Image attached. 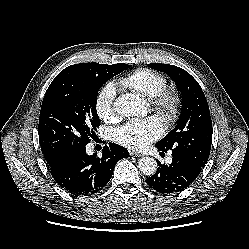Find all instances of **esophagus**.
Masks as SVG:
<instances>
[{
	"instance_id": "esophagus-1",
	"label": "esophagus",
	"mask_w": 249,
	"mask_h": 249,
	"mask_svg": "<svg viewBox=\"0 0 249 249\" xmlns=\"http://www.w3.org/2000/svg\"><path fill=\"white\" fill-rule=\"evenodd\" d=\"M129 154L131 156H134V157H141V156H143L141 153H137V152H134V151H129Z\"/></svg>"
}]
</instances>
